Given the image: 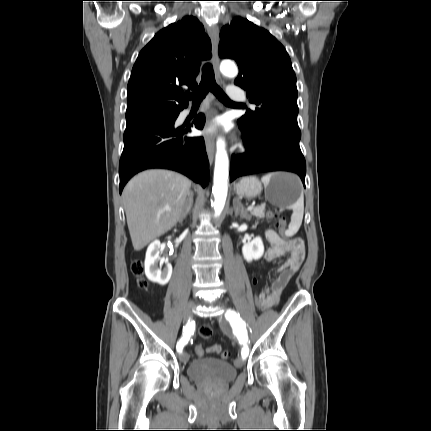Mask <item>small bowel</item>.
Masks as SVG:
<instances>
[{
	"label": "small bowel",
	"instance_id": "1",
	"mask_svg": "<svg viewBox=\"0 0 431 431\" xmlns=\"http://www.w3.org/2000/svg\"><path fill=\"white\" fill-rule=\"evenodd\" d=\"M265 236L270 243V247L266 250L264 255L267 261L276 260L286 253H290V256L285 263L277 269L278 275L273 279L271 285L257 293L260 297L259 305H261V309L273 307L279 302L283 289L291 277L299 270L305 257V247L302 240L283 239L273 230H267ZM207 352L220 354L222 348L219 345H212L207 348Z\"/></svg>",
	"mask_w": 431,
	"mask_h": 431
}]
</instances>
